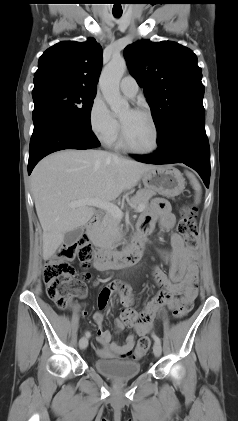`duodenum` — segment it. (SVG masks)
<instances>
[{
  "mask_svg": "<svg viewBox=\"0 0 238 421\" xmlns=\"http://www.w3.org/2000/svg\"><path fill=\"white\" fill-rule=\"evenodd\" d=\"M98 216H94L87 224V232L91 233L97 226ZM144 244L140 239H136L129 247L122 251H107L100 249L93 258V265L98 270H107L130 266L137 263L143 255Z\"/></svg>",
  "mask_w": 238,
  "mask_h": 421,
  "instance_id": "duodenum-1",
  "label": "duodenum"
}]
</instances>
